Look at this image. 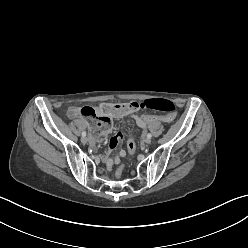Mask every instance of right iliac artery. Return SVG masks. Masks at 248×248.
Wrapping results in <instances>:
<instances>
[{
    "mask_svg": "<svg viewBox=\"0 0 248 248\" xmlns=\"http://www.w3.org/2000/svg\"><path fill=\"white\" fill-rule=\"evenodd\" d=\"M82 136L83 137H85L86 136V132L84 131V132H82Z\"/></svg>",
    "mask_w": 248,
    "mask_h": 248,
    "instance_id": "82829eb1",
    "label": "right iliac artery"
}]
</instances>
